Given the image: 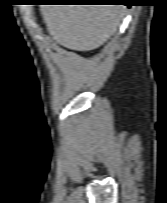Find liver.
I'll return each mask as SVG.
<instances>
[{
  "label": "liver",
  "mask_w": 167,
  "mask_h": 203,
  "mask_svg": "<svg viewBox=\"0 0 167 203\" xmlns=\"http://www.w3.org/2000/svg\"><path fill=\"white\" fill-rule=\"evenodd\" d=\"M125 7L120 5H42L48 32L60 45L76 51L100 47L118 29Z\"/></svg>",
  "instance_id": "liver-1"
}]
</instances>
